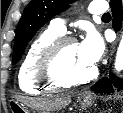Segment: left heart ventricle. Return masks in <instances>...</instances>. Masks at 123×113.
Wrapping results in <instances>:
<instances>
[{
    "instance_id": "left-heart-ventricle-1",
    "label": "left heart ventricle",
    "mask_w": 123,
    "mask_h": 113,
    "mask_svg": "<svg viewBox=\"0 0 123 113\" xmlns=\"http://www.w3.org/2000/svg\"><path fill=\"white\" fill-rule=\"evenodd\" d=\"M60 68L67 78L75 79L86 76L93 67L81 58L78 45L70 44L62 54Z\"/></svg>"
}]
</instances>
